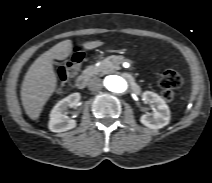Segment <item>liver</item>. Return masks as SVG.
<instances>
[{
  "mask_svg": "<svg viewBox=\"0 0 212 183\" xmlns=\"http://www.w3.org/2000/svg\"><path fill=\"white\" fill-rule=\"evenodd\" d=\"M102 44L101 41H91L83 46L85 49H93ZM71 52V40L59 42L39 56L28 69L21 87V100L26 114L32 120L39 118L44 105L57 87L53 59L64 60Z\"/></svg>",
  "mask_w": 212,
  "mask_h": 183,
  "instance_id": "liver-1",
  "label": "liver"
}]
</instances>
